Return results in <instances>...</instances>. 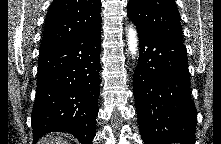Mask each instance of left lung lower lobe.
Segmentation results:
<instances>
[{
  "label": "left lung lower lobe",
  "mask_w": 221,
  "mask_h": 144,
  "mask_svg": "<svg viewBox=\"0 0 221 144\" xmlns=\"http://www.w3.org/2000/svg\"><path fill=\"white\" fill-rule=\"evenodd\" d=\"M133 93L145 144H195L197 112L190 98L187 52L176 40L138 31Z\"/></svg>",
  "instance_id": "1"
}]
</instances>
